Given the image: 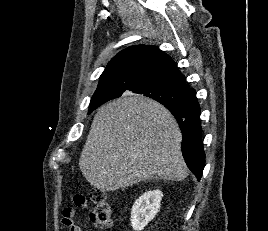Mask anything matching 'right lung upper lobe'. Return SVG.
<instances>
[{
    "mask_svg": "<svg viewBox=\"0 0 268 231\" xmlns=\"http://www.w3.org/2000/svg\"><path fill=\"white\" fill-rule=\"evenodd\" d=\"M144 81L161 82L196 94L194 89L187 86L185 77L180 73L170 56L156 46L137 45L121 51L108 63L100 76L99 85L90 103L103 104L122 95H114L98 101L106 88L128 90L135 84ZM160 103L173 104L169 101H161Z\"/></svg>",
    "mask_w": 268,
    "mask_h": 231,
    "instance_id": "1",
    "label": "right lung upper lobe"
}]
</instances>
